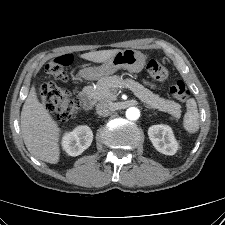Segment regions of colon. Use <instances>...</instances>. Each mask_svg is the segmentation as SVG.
<instances>
[{
  "instance_id": "1",
  "label": "colon",
  "mask_w": 225,
  "mask_h": 225,
  "mask_svg": "<svg viewBox=\"0 0 225 225\" xmlns=\"http://www.w3.org/2000/svg\"><path fill=\"white\" fill-rule=\"evenodd\" d=\"M71 63V55H60L46 64V72L53 78L68 81L64 69ZM146 69L157 80H165L168 77V70L155 59L148 60ZM169 92L173 98L181 102L187 101L190 97L187 85L181 80L171 85ZM39 98L49 112L56 113L62 120L72 118L80 108V101L76 96L72 97L66 89L53 82L44 83L40 87Z\"/></svg>"
}]
</instances>
